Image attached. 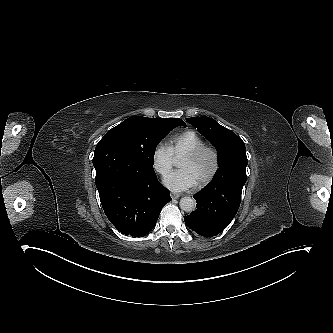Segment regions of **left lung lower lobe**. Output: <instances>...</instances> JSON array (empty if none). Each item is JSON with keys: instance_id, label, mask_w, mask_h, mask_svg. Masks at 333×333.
<instances>
[{"instance_id": "1", "label": "left lung lower lobe", "mask_w": 333, "mask_h": 333, "mask_svg": "<svg viewBox=\"0 0 333 333\" xmlns=\"http://www.w3.org/2000/svg\"><path fill=\"white\" fill-rule=\"evenodd\" d=\"M245 182L246 177L229 184L212 179L209 185L194 196L197 209L184 216L185 224L205 237L216 236L222 232L239 209Z\"/></svg>"}]
</instances>
